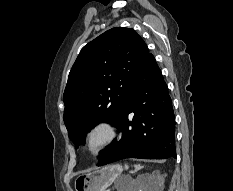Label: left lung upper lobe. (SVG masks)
Wrapping results in <instances>:
<instances>
[{"instance_id": "obj_1", "label": "left lung upper lobe", "mask_w": 233, "mask_h": 191, "mask_svg": "<svg viewBox=\"0 0 233 191\" xmlns=\"http://www.w3.org/2000/svg\"><path fill=\"white\" fill-rule=\"evenodd\" d=\"M131 28H112L85 45L69 73L64 91V122L78 148L100 122L115 126L131 85L149 55Z\"/></svg>"}]
</instances>
